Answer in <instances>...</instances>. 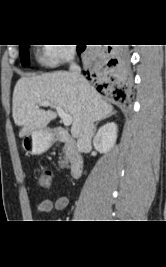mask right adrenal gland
Returning a JSON list of instances; mask_svg holds the SVG:
<instances>
[{
	"label": "right adrenal gland",
	"mask_w": 166,
	"mask_h": 267,
	"mask_svg": "<svg viewBox=\"0 0 166 267\" xmlns=\"http://www.w3.org/2000/svg\"><path fill=\"white\" fill-rule=\"evenodd\" d=\"M105 118H103L102 120H104ZM101 121V120H100ZM100 121H98L96 124H95V128H94V132H96V130H97V126H98V124H99V122Z\"/></svg>",
	"instance_id": "obj_1"
}]
</instances>
